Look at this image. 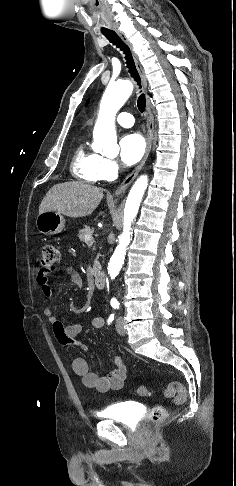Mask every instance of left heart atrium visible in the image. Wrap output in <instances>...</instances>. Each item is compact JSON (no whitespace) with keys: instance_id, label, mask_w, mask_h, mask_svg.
<instances>
[{"instance_id":"left-heart-atrium-1","label":"left heart atrium","mask_w":236,"mask_h":486,"mask_svg":"<svg viewBox=\"0 0 236 486\" xmlns=\"http://www.w3.org/2000/svg\"><path fill=\"white\" fill-rule=\"evenodd\" d=\"M120 157L124 164L133 165L145 152V141L138 133H128L120 140Z\"/></svg>"}]
</instances>
